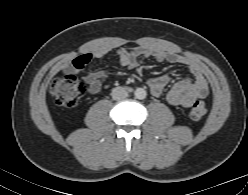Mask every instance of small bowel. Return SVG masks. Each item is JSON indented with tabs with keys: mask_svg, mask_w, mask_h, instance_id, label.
Wrapping results in <instances>:
<instances>
[{
	"mask_svg": "<svg viewBox=\"0 0 248 195\" xmlns=\"http://www.w3.org/2000/svg\"><path fill=\"white\" fill-rule=\"evenodd\" d=\"M108 53L107 50H99L91 54H86L77 57L71 64L64 68V72H84V68L89 59L102 58ZM119 62L122 66L130 69L141 67L149 58H154L157 61H168L171 63L185 64L189 66L192 78L183 77L178 80L167 94V101L174 106L190 107L196 99H202L208 96L209 87L204 76L202 67L193 61L159 48L136 47L132 49L120 48L116 51ZM106 78L103 71H94L84 73L83 79L87 84L91 94H100L102 92V83ZM170 81V77L160 76L149 78L147 80L151 94L159 97L165 86Z\"/></svg>",
	"mask_w": 248,
	"mask_h": 195,
	"instance_id": "c3829d8e",
	"label": "small bowel"
}]
</instances>
